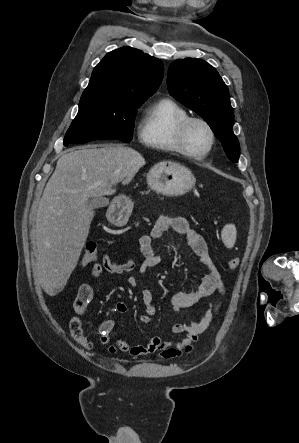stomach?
<instances>
[{"mask_svg":"<svg viewBox=\"0 0 299 443\" xmlns=\"http://www.w3.org/2000/svg\"><path fill=\"white\" fill-rule=\"evenodd\" d=\"M196 179L184 166L168 162L158 164L147 174V184L155 192L167 196H180L192 189ZM132 201L122 195L113 199L108 218L115 225H125L132 211Z\"/></svg>","mask_w":299,"mask_h":443,"instance_id":"1","label":"stomach"}]
</instances>
